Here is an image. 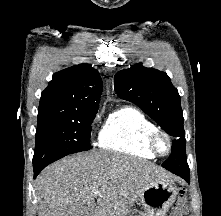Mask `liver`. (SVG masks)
<instances>
[{"label": "liver", "instance_id": "1", "mask_svg": "<svg viewBox=\"0 0 221 216\" xmlns=\"http://www.w3.org/2000/svg\"><path fill=\"white\" fill-rule=\"evenodd\" d=\"M170 176L153 163L104 151L65 157L35 181L38 216H125L151 181Z\"/></svg>", "mask_w": 221, "mask_h": 216}]
</instances>
